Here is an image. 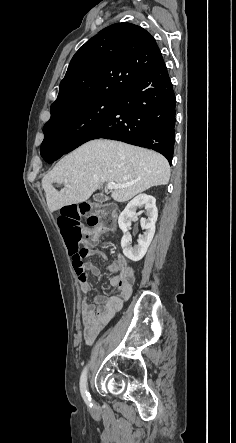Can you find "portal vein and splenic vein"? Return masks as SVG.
I'll return each instance as SVG.
<instances>
[{
  "label": "portal vein and splenic vein",
  "mask_w": 236,
  "mask_h": 443,
  "mask_svg": "<svg viewBox=\"0 0 236 443\" xmlns=\"http://www.w3.org/2000/svg\"><path fill=\"white\" fill-rule=\"evenodd\" d=\"M65 186H66L67 188H70V186H69L68 184H66ZM123 187H125V185L116 184V183H114V182H109V183L107 184V188H108L109 190L120 189V188H123Z\"/></svg>",
  "instance_id": "1"
}]
</instances>
